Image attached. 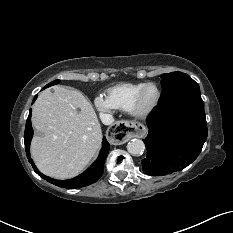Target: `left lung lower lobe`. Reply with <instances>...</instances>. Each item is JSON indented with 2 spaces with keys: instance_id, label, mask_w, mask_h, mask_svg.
<instances>
[{
  "instance_id": "0a47b994",
  "label": "left lung lower lobe",
  "mask_w": 233,
  "mask_h": 233,
  "mask_svg": "<svg viewBox=\"0 0 233 233\" xmlns=\"http://www.w3.org/2000/svg\"><path fill=\"white\" fill-rule=\"evenodd\" d=\"M146 124L149 130L143 139L147 148V156L141 161L143 171L151 176L181 171L197 158L207 139L200 90L159 103Z\"/></svg>"
}]
</instances>
